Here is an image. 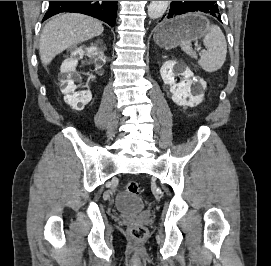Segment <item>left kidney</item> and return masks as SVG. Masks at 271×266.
I'll use <instances>...</instances> for the list:
<instances>
[{
    "mask_svg": "<svg viewBox=\"0 0 271 266\" xmlns=\"http://www.w3.org/2000/svg\"><path fill=\"white\" fill-rule=\"evenodd\" d=\"M161 77L165 84L170 86V92L172 94V100L179 106L194 107L199 101L198 96H193L191 93V86L193 84L192 77L193 72L183 66L179 65L176 61H166L160 69ZM180 74L184 77V80L180 83H176L174 77Z\"/></svg>",
    "mask_w": 271,
    "mask_h": 266,
    "instance_id": "5707ae66",
    "label": "left kidney"
}]
</instances>
